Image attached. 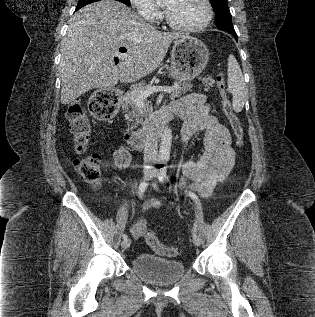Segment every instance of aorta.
<instances>
[{"mask_svg":"<svg viewBox=\"0 0 315 317\" xmlns=\"http://www.w3.org/2000/svg\"><path fill=\"white\" fill-rule=\"evenodd\" d=\"M172 144V131L169 127H165L160 142L159 160L168 161Z\"/></svg>","mask_w":315,"mask_h":317,"instance_id":"762f6f07","label":"aorta"}]
</instances>
